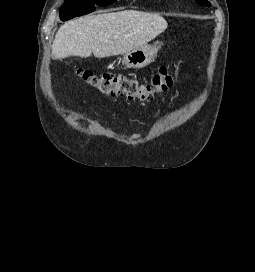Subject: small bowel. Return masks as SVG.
<instances>
[{
  "instance_id": "1",
  "label": "small bowel",
  "mask_w": 255,
  "mask_h": 272,
  "mask_svg": "<svg viewBox=\"0 0 255 272\" xmlns=\"http://www.w3.org/2000/svg\"><path fill=\"white\" fill-rule=\"evenodd\" d=\"M140 137V135H133L132 137H131V139L132 140H136V139H138Z\"/></svg>"
}]
</instances>
